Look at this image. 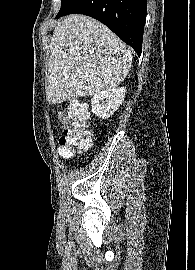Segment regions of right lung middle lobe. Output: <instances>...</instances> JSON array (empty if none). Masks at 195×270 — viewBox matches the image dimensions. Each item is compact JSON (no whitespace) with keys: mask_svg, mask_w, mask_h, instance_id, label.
Masks as SVG:
<instances>
[{"mask_svg":"<svg viewBox=\"0 0 195 270\" xmlns=\"http://www.w3.org/2000/svg\"><path fill=\"white\" fill-rule=\"evenodd\" d=\"M75 1L76 0H61V9L58 14H62L67 11Z\"/></svg>","mask_w":195,"mask_h":270,"instance_id":"obj_1","label":"right lung middle lobe"}]
</instances>
